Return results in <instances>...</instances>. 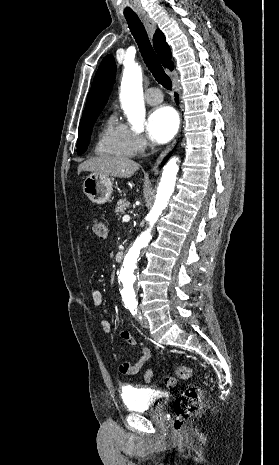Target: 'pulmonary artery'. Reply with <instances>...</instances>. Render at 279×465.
Masks as SVG:
<instances>
[{
  "mask_svg": "<svg viewBox=\"0 0 279 465\" xmlns=\"http://www.w3.org/2000/svg\"><path fill=\"white\" fill-rule=\"evenodd\" d=\"M145 100L152 105L159 104L163 100L162 93L158 88H149L145 93Z\"/></svg>",
  "mask_w": 279,
  "mask_h": 465,
  "instance_id": "obj_1",
  "label": "pulmonary artery"
}]
</instances>
